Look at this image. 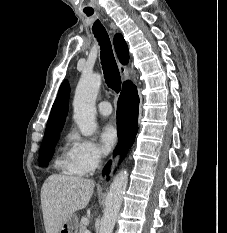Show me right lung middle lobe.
Listing matches in <instances>:
<instances>
[{
    "mask_svg": "<svg viewBox=\"0 0 227 233\" xmlns=\"http://www.w3.org/2000/svg\"><path fill=\"white\" fill-rule=\"evenodd\" d=\"M60 137V133L53 135L49 138H44L41 148H40V155H39V163L40 167L47 166L49 161L51 160L54 152V147L58 142Z\"/></svg>",
    "mask_w": 227,
    "mask_h": 233,
    "instance_id": "1",
    "label": "right lung middle lobe"
}]
</instances>
